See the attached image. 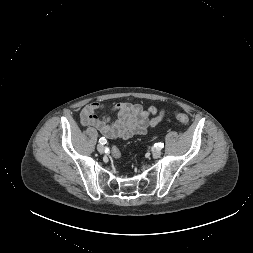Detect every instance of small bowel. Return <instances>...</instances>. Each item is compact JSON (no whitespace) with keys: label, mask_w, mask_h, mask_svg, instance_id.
I'll use <instances>...</instances> for the list:
<instances>
[{"label":"small bowel","mask_w":253,"mask_h":253,"mask_svg":"<svg viewBox=\"0 0 253 253\" xmlns=\"http://www.w3.org/2000/svg\"><path fill=\"white\" fill-rule=\"evenodd\" d=\"M105 110L99 102L87 104L81 111V123L96 128L107 138L124 140L147 133L161 121L164 114L153 106L120 102L110 108V112L116 114V119L111 121L109 116H99Z\"/></svg>","instance_id":"1"}]
</instances>
